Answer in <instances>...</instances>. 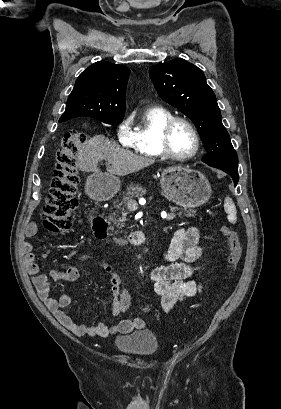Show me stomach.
I'll use <instances>...</instances> for the list:
<instances>
[{"instance_id":"1","label":"stomach","mask_w":281,"mask_h":409,"mask_svg":"<svg viewBox=\"0 0 281 409\" xmlns=\"http://www.w3.org/2000/svg\"><path fill=\"white\" fill-rule=\"evenodd\" d=\"M163 192L179 207H200L211 196V184L205 174L182 164L164 168L160 176ZM121 186V180L114 174H90L86 180L85 192L93 200H109Z\"/></svg>"}]
</instances>
